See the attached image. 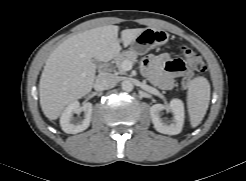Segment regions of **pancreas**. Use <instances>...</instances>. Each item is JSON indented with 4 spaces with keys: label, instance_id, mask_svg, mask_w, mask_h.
<instances>
[{
    "label": "pancreas",
    "instance_id": "cf45deb5",
    "mask_svg": "<svg viewBox=\"0 0 246 181\" xmlns=\"http://www.w3.org/2000/svg\"><path fill=\"white\" fill-rule=\"evenodd\" d=\"M137 59V54L133 51H125L115 58V64L120 74H124L125 71L121 68V65L124 61H130L134 63Z\"/></svg>",
    "mask_w": 246,
    "mask_h": 181
}]
</instances>
